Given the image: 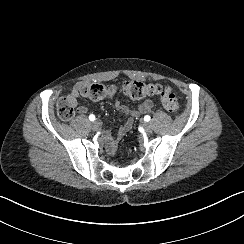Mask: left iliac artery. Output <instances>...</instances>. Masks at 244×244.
<instances>
[{
  "label": "left iliac artery",
  "mask_w": 244,
  "mask_h": 244,
  "mask_svg": "<svg viewBox=\"0 0 244 244\" xmlns=\"http://www.w3.org/2000/svg\"><path fill=\"white\" fill-rule=\"evenodd\" d=\"M144 121H146V122L150 121V116H149V115H146V116L144 117Z\"/></svg>",
  "instance_id": "obj_1"
}]
</instances>
